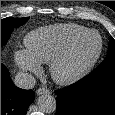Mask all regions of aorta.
Masks as SVG:
<instances>
[{"label":"aorta","mask_w":115,"mask_h":115,"mask_svg":"<svg viewBox=\"0 0 115 115\" xmlns=\"http://www.w3.org/2000/svg\"><path fill=\"white\" fill-rule=\"evenodd\" d=\"M38 107L44 113H53L56 110V100L52 95L43 94L38 98Z\"/></svg>","instance_id":"obj_1"}]
</instances>
